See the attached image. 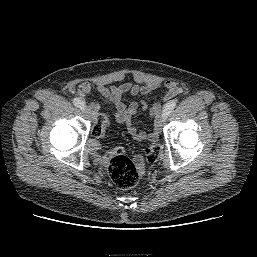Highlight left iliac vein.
Instances as JSON below:
<instances>
[{"mask_svg": "<svg viewBox=\"0 0 257 257\" xmlns=\"http://www.w3.org/2000/svg\"><path fill=\"white\" fill-rule=\"evenodd\" d=\"M166 118H167V115L164 113H162L157 117V123L159 127H161L164 124V122L166 121Z\"/></svg>", "mask_w": 257, "mask_h": 257, "instance_id": "1", "label": "left iliac vein"}]
</instances>
